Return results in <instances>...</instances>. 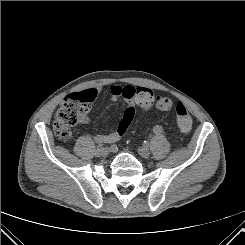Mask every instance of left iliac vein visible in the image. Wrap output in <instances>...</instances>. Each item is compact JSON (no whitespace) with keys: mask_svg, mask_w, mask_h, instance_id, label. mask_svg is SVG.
I'll list each match as a JSON object with an SVG mask.
<instances>
[{"mask_svg":"<svg viewBox=\"0 0 245 245\" xmlns=\"http://www.w3.org/2000/svg\"><path fill=\"white\" fill-rule=\"evenodd\" d=\"M138 153L143 158H148L150 156V151L147 147H140L138 148Z\"/></svg>","mask_w":245,"mask_h":245,"instance_id":"obj_1","label":"left iliac vein"}]
</instances>
